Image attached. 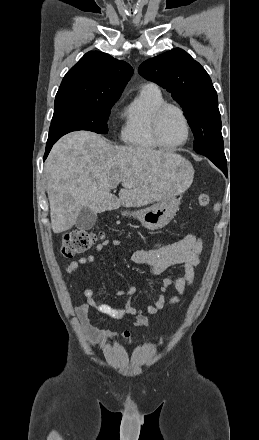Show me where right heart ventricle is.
<instances>
[{"instance_id":"e07e8e85","label":"right heart ventricle","mask_w":259,"mask_h":440,"mask_svg":"<svg viewBox=\"0 0 259 440\" xmlns=\"http://www.w3.org/2000/svg\"><path fill=\"white\" fill-rule=\"evenodd\" d=\"M164 103L159 90L143 88L122 112V141L141 151L159 149L152 135V121L156 110Z\"/></svg>"}]
</instances>
